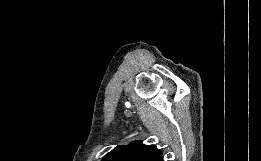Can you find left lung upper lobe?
Returning <instances> with one entry per match:
<instances>
[{"label": "left lung upper lobe", "instance_id": "5c2ea615", "mask_svg": "<svg viewBox=\"0 0 261 161\" xmlns=\"http://www.w3.org/2000/svg\"><path fill=\"white\" fill-rule=\"evenodd\" d=\"M161 155L155 145L134 141L128 145H118L102 161H157Z\"/></svg>", "mask_w": 261, "mask_h": 161}]
</instances>
